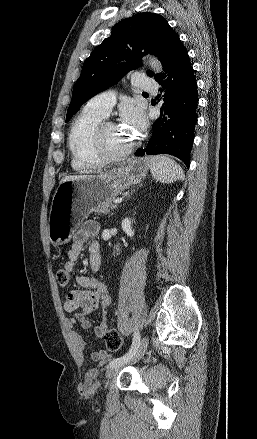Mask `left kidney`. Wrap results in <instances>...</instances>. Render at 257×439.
Instances as JSON below:
<instances>
[{
    "mask_svg": "<svg viewBox=\"0 0 257 439\" xmlns=\"http://www.w3.org/2000/svg\"><path fill=\"white\" fill-rule=\"evenodd\" d=\"M132 221L129 218H125L124 220H122V229L123 231L130 237H132L134 235V230H132Z\"/></svg>",
    "mask_w": 257,
    "mask_h": 439,
    "instance_id": "obj_1",
    "label": "left kidney"
}]
</instances>
